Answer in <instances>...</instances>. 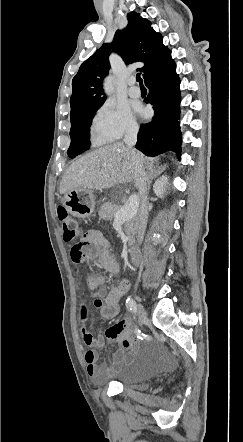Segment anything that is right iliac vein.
Returning a JSON list of instances; mask_svg holds the SVG:
<instances>
[{
  "label": "right iliac vein",
  "instance_id": "obj_1",
  "mask_svg": "<svg viewBox=\"0 0 243 442\" xmlns=\"http://www.w3.org/2000/svg\"><path fill=\"white\" fill-rule=\"evenodd\" d=\"M137 315L140 324H142L147 318L146 312L141 304H137Z\"/></svg>",
  "mask_w": 243,
  "mask_h": 442
}]
</instances>
